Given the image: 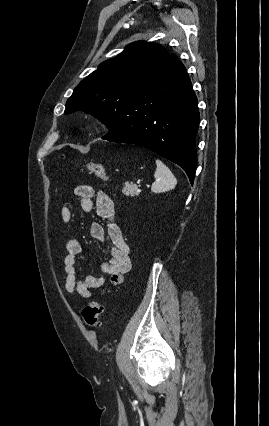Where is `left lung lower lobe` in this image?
<instances>
[{
	"instance_id": "1",
	"label": "left lung lower lobe",
	"mask_w": 269,
	"mask_h": 426,
	"mask_svg": "<svg viewBox=\"0 0 269 426\" xmlns=\"http://www.w3.org/2000/svg\"><path fill=\"white\" fill-rule=\"evenodd\" d=\"M199 121L185 67L170 54L151 84L131 98L113 134L103 139L146 147L182 167L193 184Z\"/></svg>"
}]
</instances>
